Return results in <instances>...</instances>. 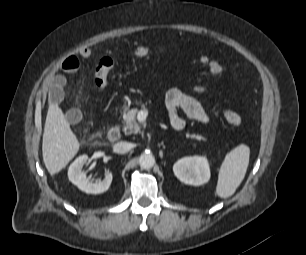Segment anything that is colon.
<instances>
[{
    "instance_id": "colon-1",
    "label": "colon",
    "mask_w": 306,
    "mask_h": 255,
    "mask_svg": "<svg viewBox=\"0 0 306 255\" xmlns=\"http://www.w3.org/2000/svg\"><path fill=\"white\" fill-rule=\"evenodd\" d=\"M134 54L137 58L144 59L148 56L149 49L145 45H138L134 50ZM201 61L209 67V70L213 76L216 77L222 73L223 67L217 61L210 60L206 57L201 58ZM114 68L115 62L110 57H104L99 61L95 71V81L99 87L103 88L107 85L109 76ZM220 112L224 119L232 126L241 127L244 124L243 118L235 111L221 107Z\"/></svg>"
}]
</instances>
